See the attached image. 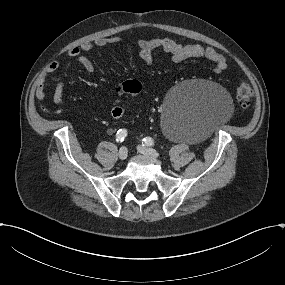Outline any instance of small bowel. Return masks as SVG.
Here are the masks:
<instances>
[{
    "label": "small bowel",
    "mask_w": 285,
    "mask_h": 285,
    "mask_svg": "<svg viewBox=\"0 0 285 285\" xmlns=\"http://www.w3.org/2000/svg\"><path fill=\"white\" fill-rule=\"evenodd\" d=\"M121 42L122 39L115 36L98 38L94 42L84 43L78 47L71 48L67 52V56L75 59L88 73H93L95 70L93 62L82 53L89 52L95 47H107L120 44ZM137 46L139 49V57L146 64H151L153 61V53L156 50H161L169 54L174 62H182L190 58H207L214 63V72L216 74H222L228 69L226 57L213 47H204L200 44H182L169 38L138 39ZM58 67L59 63L53 62L48 65L46 72H54ZM65 87L66 84L63 81H59L55 86L52 98L53 102L58 106L64 105L63 95ZM36 97L40 101L46 98L43 79L40 80L37 85Z\"/></svg>",
    "instance_id": "obj_1"
}]
</instances>
